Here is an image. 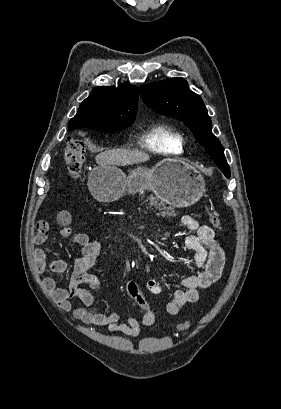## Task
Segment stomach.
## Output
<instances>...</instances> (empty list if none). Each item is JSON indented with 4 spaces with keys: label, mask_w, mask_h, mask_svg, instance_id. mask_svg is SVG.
<instances>
[{
    "label": "stomach",
    "mask_w": 281,
    "mask_h": 409,
    "mask_svg": "<svg viewBox=\"0 0 281 409\" xmlns=\"http://www.w3.org/2000/svg\"><path fill=\"white\" fill-rule=\"evenodd\" d=\"M88 188L100 202H113L128 194L153 190L172 207H191L205 192V180L199 170L177 158L160 160L155 166H137L125 174L115 164L95 166L88 176Z\"/></svg>",
    "instance_id": "stomach-1"
}]
</instances>
